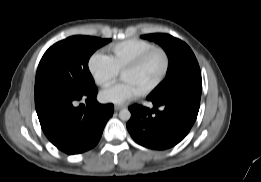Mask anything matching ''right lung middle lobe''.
Returning a JSON list of instances; mask_svg holds the SVG:
<instances>
[{
	"label": "right lung middle lobe",
	"mask_w": 261,
	"mask_h": 182,
	"mask_svg": "<svg viewBox=\"0 0 261 182\" xmlns=\"http://www.w3.org/2000/svg\"><path fill=\"white\" fill-rule=\"evenodd\" d=\"M110 41L111 39L79 35L51 46L39 63L35 94L51 88H62L80 97L96 92L88 61L96 49Z\"/></svg>",
	"instance_id": "right-lung-middle-lobe-1"
}]
</instances>
